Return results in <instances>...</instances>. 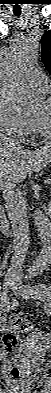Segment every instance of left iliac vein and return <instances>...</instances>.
<instances>
[{
  "label": "left iliac vein",
  "mask_w": 51,
  "mask_h": 393,
  "mask_svg": "<svg viewBox=\"0 0 51 393\" xmlns=\"http://www.w3.org/2000/svg\"><path fill=\"white\" fill-rule=\"evenodd\" d=\"M12 289L16 295H18L22 298H25V299H30V298L36 299L38 297V295L31 294V292L29 291V286H24V285H21L20 283L14 284Z\"/></svg>",
  "instance_id": "left-iliac-vein-1"
}]
</instances>
